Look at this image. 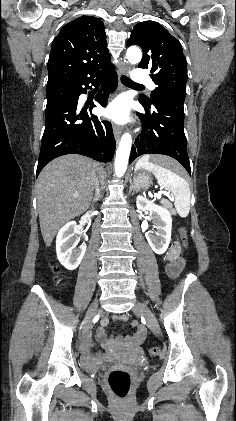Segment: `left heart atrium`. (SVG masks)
<instances>
[{
  "mask_svg": "<svg viewBox=\"0 0 236 421\" xmlns=\"http://www.w3.org/2000/svg\"><path fill=\"white\" fill-rule=\"evenodd\" d=\"M103 114L115 123L124 124L129 120V107L126 102L115 100L103 111Z\"/></svg>",
  "mask_w": 236,
  "mask_h": 421,
  "instance_id": "left-heart-atrium-1",
  "label": "left heart atrium"
}]
</instances>
